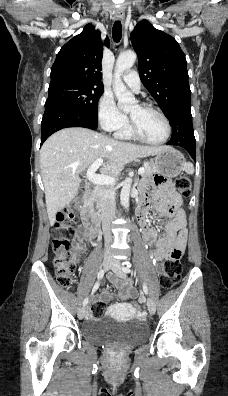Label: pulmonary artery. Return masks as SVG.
I'll return each mask as SVG.
<instances>
[{
    "instance_id": "pulmonary-artery-1",
    "label": "pulmonary artery",
    "mask_w": 228,
    "mask_h": 396,
    "mask_svg": "<svg viewBox=\"0 0 228 396\" xmlns=\"http://www.w3.org/2000/svg\"><path fill=\"white\" fill-rule=\"evenodd\" d=\"M124 82L135 92L140 90V79L136 71H130L123 76Z\"/></svg>"
}]
</instances>
